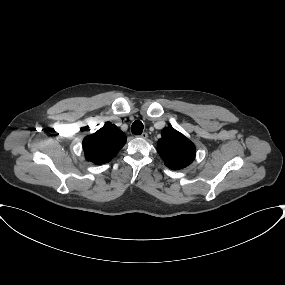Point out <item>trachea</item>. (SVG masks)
Segmentation results:
<instances>
[{"label": "trachea", "mask_w": 285, "mask_h": 285, "mask_svg": "<svg viewBox=\"0 0 285 285\" xmlns=\"http://www.w3.org/2000/svg\"><path fill=\"white\" fill-rule=\"evenodd\" d=\"M143 128V123L140 120H136L131 126V132L135 135H140L143 132Z\"/></svg>", "instance_id": "3493384b"}]
</instances>
